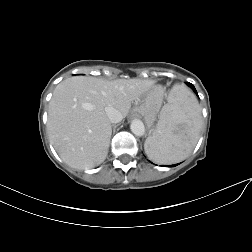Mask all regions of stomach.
Segmentation results:
<instances>
[{
    "label": "stomach",
    "mask_w": 252,
    "mask_h": 252,
    "mask_svg": "<svg viewBox=\"0 0 252 252\" xmlns=\"http://www.w3.org/2000/svg\"><path fill=\"white\" fill-rule=\"evenodd\" d=\"M162 97L159 87H154L140 98L134 111L144 117L146 123L151 126L160 110ZM161 116V113H160Z\"/></svg>",
    "instance_id": "obj_1"
}]
</instances>
